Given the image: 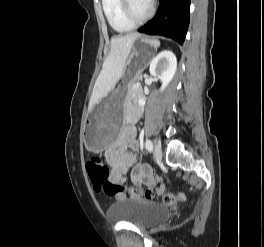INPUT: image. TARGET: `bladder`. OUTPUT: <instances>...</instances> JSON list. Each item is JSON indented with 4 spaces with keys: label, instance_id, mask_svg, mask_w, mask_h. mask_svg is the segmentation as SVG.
<instances>
[{
    "label": "bladder",
    "instance_id": "bladder-1",
    "mask_svg": "<svg viewBox=\"0 0 264 247\" xmlns=\"http://www.w3.org/2000/svg\"><path fill=\"white\" fill-rule=\"evenodd\" d=\"M109 220L126 222L140 228H149L168 219V211L158 203L136 198L121 197L107 212Z\"/></svg>",
    "mask_w": 264,
    "mask_h": 247
}]
</instances>
